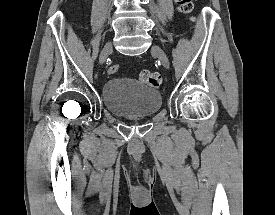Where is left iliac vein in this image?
<instances>
[{
  "mask_svg": "<svg viewBox=\"0 0 275 215\" xmlns=\"http://www.w3.org/2000/svg\"><path fill=\"white\" fill-rule=\"evenodd\" d=\"M152 53L157 56L165 68H169V61L165 52L157 45H154L151 49Z\"/></svg>",
  "mask_w": 275,
  "mask_h": 215,
  "instance_id": "left-iliac-vein-1",
  "label": "left iliac vein"
}]
</instances>
